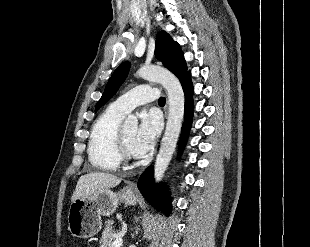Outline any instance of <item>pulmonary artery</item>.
<instances>
[{
    "mask_svg": "<svg viewBox=\"0 0 310 247\" xmlns=\"http://www.w3.org/2000/svg\"><path fill=\"white\" fill-rule=\"evenodd\" d=\"M158 98L159 91L157 88L151 87L150 85H139L117 98L112 103V106L126 114L135 107L152 102Z\"/></svg>",
    "mask_w": 310,
    "mask_h": 247,
    "instance_id": "pulmonary-artery-1",
    "label": "pulmonary artery"
}]
</instances>
